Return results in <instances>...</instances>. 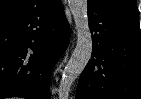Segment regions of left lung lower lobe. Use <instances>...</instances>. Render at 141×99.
Instances as JSON below:
<instances>
[{"instance_id":"left-lung-lower-lobe-1","label":"left lung lower lobe","mask_w":141,"mask_h":99,"mask_svg":"<svg viewBox=\"0 0 141 99\" xmlns=\"http://www.w3.org/2000/svg\"><path fill=\"white\" fill-rule=\"evenodd\" d=\"M92 57L76 99H141V33L137 12L88 2Z\"/></svg>"}]
</instances>
